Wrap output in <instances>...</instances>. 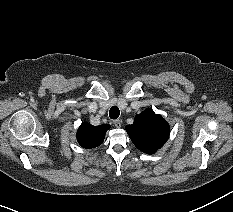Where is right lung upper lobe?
Wrapping results in <instances>:
<instances>
[{"label": "right lung upper lobe", "mask_w": 233, "mask_h": 212, "mask_svg": "<svg viewBox=\"0 0 233 212\" xmlns=\"http://www.w3.org/2000/svg\"><path fill=\"white\" fill-rule=\"evenodd\" d=\"M109 128L108 124L93 126L83 122L77 131V140L83 148L97 147L103 142L105 133Z\"/></svg>", "instance_id": "1"}]
</instances>
